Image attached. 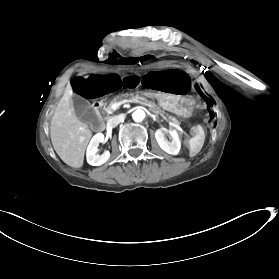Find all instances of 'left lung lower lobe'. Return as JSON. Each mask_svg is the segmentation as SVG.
<instances>
[{
  "label": "left lung lower lobe",
  "mask_w": 279,
  "mask_h": 279,
  "mask_svg": "<svg viewBox=\"0 0 279 279\" xmlns=\"http://www.w3.org/2000/svg\"><path fill=\"white\" fill-rule=\"evenodd\" d=\"M211 105H212V103H210ZM214 117V114L213 113H211V118H213Z\"/></svg>",
  "instance_id": "1"
}]
</instances>
